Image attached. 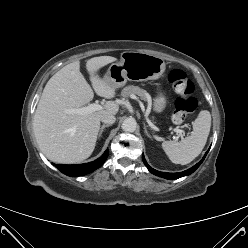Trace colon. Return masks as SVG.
Masks as SVG:
<instances>
[{
  "label": "colon",
  "instance_id": "5ec220e1",
  "mask_svg": "<svg viewBox=\"0 0 248 248\" xmlns=\"http://www.w3.org/2000/svg\"><path fill=\"white\" fill-rule=\"evenodd\" d=\"M168 81L177 94L173 122L180 124L197 109L198 102L193 96L194 86L185 72L180 69L171 70Z\"/></svg>",
  "mask_w": 248,
  "mask_h": 248
}]
</instances>
